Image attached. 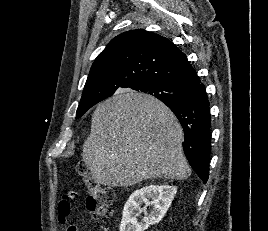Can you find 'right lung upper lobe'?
<instances>
[{"label": "right lung upper lobe", "instance_id": "right-lung-upper-lobe-1", "mask_svg": "<svg viewBox=\"0 0 268 231\" xmlns=\"http://www.w3.org/2000/svg\"><path fill=\"white\" fill-rule=\"evenodd\" d=\"M160 81L190 91L199 78L184 53L170 40L142 30L116 36L95 59L80 102L96 104L118 88Z\"/></svg>", "mask_w": 268, "mask_h": 231}]
</instances>
